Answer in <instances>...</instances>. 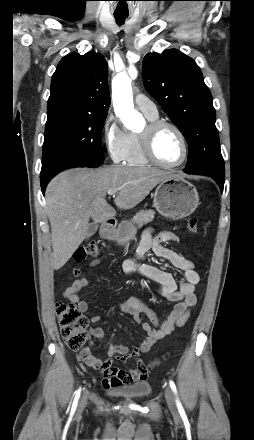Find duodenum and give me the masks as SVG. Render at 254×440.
Here are the masks:
<instances>
[{"instance_id":"1","label":"duodenum","mask_w":254,"mask_h":440,"mask_svg":"<svg viewBox=\"0 0 254 440\" xmlns=\"http://www.w3.org/2000/svg\"><path fill=\"white\" fill-rule=\"evenodd\" d=\"M115 225H116V221L114 218L108 219L106 221L105 225L102 227V230H101L102 234L104 236H108L109 234H111Z\"/></svg>"}]
</instances>
